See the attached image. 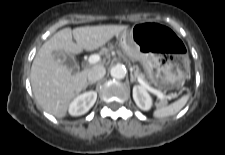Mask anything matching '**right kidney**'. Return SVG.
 <instances>
[{
    "label": "right kidney",
    "mask_w": 225,
    "mask_h": 155,
    "mask_svg": "<svg viewBox=\"0 0 225 155\" xmlns=\"http://www.w3.org/2000/svg\"><path fill=\"white\" fill-rule=\"evenodd\" d=\"M97 93L95 91L85 92L76 97L69 105V114L72 116H80L87 113L95 104Z\"/></svg>",
    "instance_id": "obj_1"
}]
</instances>
